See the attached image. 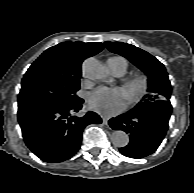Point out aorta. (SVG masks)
I'll list each match as a JSON object with an SVG mask.
<instances>
[{"label": "aorta", "mask_w": 194, "mask_h": 193, "mask_svg": "<svg viewBox=\"0 0 194 193\" xmlns=\"http://www.w3.org/2000/svg\"><path fill=\"white\" fill-rule=\"evenodd\" d=\"M83 74L91 80L104 81L108 78L106 67L97 59L87 58L82 65ZM111 142L116 147H125L129 143V136L122 130L114 131L110 136Z\"/></svg>", "instance_id": "obj_1"}]
</instances>
